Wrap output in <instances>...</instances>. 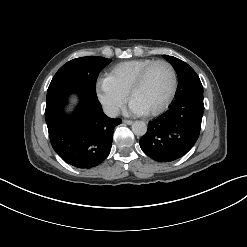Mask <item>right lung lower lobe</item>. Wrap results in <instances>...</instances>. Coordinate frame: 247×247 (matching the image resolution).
I'll return each instance as SVG.
<instances>
[{
  "label": "right lung lower lobe",
  "instance_id": "obj_1",
  "mask_svg": "<svg viewBox=\"0 0 247 247\" xmlns=\"http://www.w3.org/2000/svg\"><path fill=\"white\" fill-rule=\"evenodd\" d=\"M78 94L80 103L71 116L63 112L69 92L47 99L45 120L55 152L74 167L90 169L109 155L114 128L121 120L107 117L97 97Z\"/></svg>",
  "mask_w": 247,
  "mask_h": 247
}]
</instances>
